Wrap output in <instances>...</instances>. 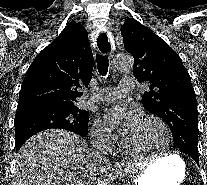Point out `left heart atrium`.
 I'll list each match as a JSON object with an SVG mask.
<instances>
[{
  "instance_id": "1",
  "label": "left heart atrium",
  "mask_w": 207,
  "mask_h": 185,
  "mask_svg": "<svg viewBox=\"0 0 207 185\" xmlns=\"http://www.w3.org/2000/svg\"><path fill=\"white\" fill-rule=\"evenodd\" d=\"M121 117L125 118V133L134 127L140 120V117L136 112L127 110L121 106L114 107L106 113L108 122L113 126H117Z\"/></svg>"
}]
</instances>
